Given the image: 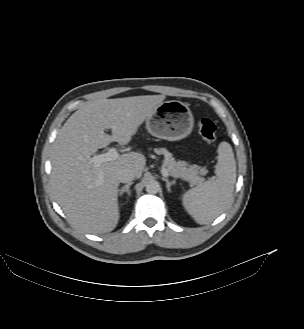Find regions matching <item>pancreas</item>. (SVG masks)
<instances>
[{"instance_id": "1", "label": "pancreas", "mask_w": 304, "mask_h": 329, "mask_svg": "<svg viewBox=\"0 0 304 329\" xmlns=\"http://www.w3.org/2000/svg\"><path fill=\"white\" fill-rule=\"evenodd\" d=\"M155 153L164 155L165 168L169 175L174 178H180L189 182L191 186L198 185L204 181L201 175H206L208 170L206 167H200L196 164L189 165L184 161H176L167 149H155Z\"/></svg>"}]
</instances>
